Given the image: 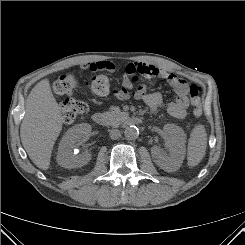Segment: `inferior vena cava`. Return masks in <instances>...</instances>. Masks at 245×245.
Segmentation results:
<instances>
[{"instance_id": "602c4592", "label": "inferior vena cava", "mask_w": 245, "mask_h": 245, "mask_svg": "<svg viewBox=\"0 0 245 245\" xmlns=\"http://www.w3.org/2000/svg\"><path fill=\"white\" fill-rule=\"evenodd\" d=\"M110 138L116 140L120 137V131L118 129H111L109 131Z\"/></svg>"}]
</instances>
